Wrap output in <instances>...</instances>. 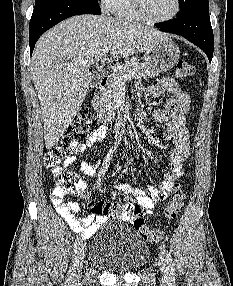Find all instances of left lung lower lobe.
I'll use <instances>...</instances> for the list:
<instances>
[{
  "mask_svg": "<svg viewBox=\"0 0 233 286\" xmlns=\"http://www.w3.org/2000/svg\"><path fill=\"white\" fill-rule=\"evenodd\" d=\"M162 31L182 35L184 38L201 48L211 62L213 57V31L209 16L208 0L196 3L185 15L175 19L156 23Z\"/></svg>",
  "mask_w": 233,
  "mask_h": 286,
  "instance_id": "obj_1",
  "label": "left lung lower lobe"
}]
</instances>
